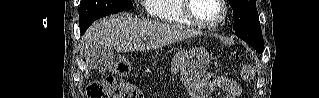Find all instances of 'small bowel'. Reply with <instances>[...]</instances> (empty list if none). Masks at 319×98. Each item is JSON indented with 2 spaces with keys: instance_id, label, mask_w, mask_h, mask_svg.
I'll use <instances>...</instances> for the list:
<instances>
[{
  "instance_id": "c3829d8e",
  "label": "small bowel",
  "mask_w": 319,
  "mask_h": 98,
  "mask_svg": "<svg viewBox=\"0 0 319 98\" xmlns=\"http://www.w3.org/2000/svg\"><path fill=\"white\" fill-rule=\"evenodd\" d=\"M208 85L211 90L221 88L227 91V98H237L241 94L240 85L232 80L218 75L208 77Z\"/></svg>"
}]
</instances>
